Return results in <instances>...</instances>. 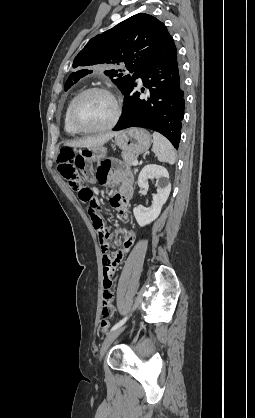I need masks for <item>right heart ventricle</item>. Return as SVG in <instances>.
<instances>
[{
  "instance_id": "1",
  "label": "right heart ventricle",
  "mask_w": 255,
  "mask_h": 418,
  "mask_svg": "<svg viewBox=\"0 0 255 418\" xmlns=\"http://www.w3.org/2000/svg\"><path fill=\"white\" fill-rule=\"evenodd\" d=\"M80 93V91H77L71 98H70V100L68 101V103H67V106H66V108H65V111H64V115H63V124H64V129H65V131L68 133V134H70V135H75V134H77V133H79V132H77L75 129H73V127L70 125V123H69V111H70V108H71V105H72V103H73V101H74V99L76 98V96L78 95Z\"/></svg>"
}]
</instances>
